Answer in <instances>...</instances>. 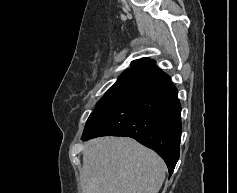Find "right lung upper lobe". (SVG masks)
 <instances>
[{
	"mask_svg": "<svg viewBox=\"0 0 237 193\" xmlns=\"http://www.w3.org/2000/svg\"><path fill=\"white\" fill-rule=\"evenodd\" d=\"M153 60L149 58H141L131 62V68L127 69L124 73L133 72V71H145L147 67L153 63ZM123 73V74H124Z\"/></svg>",
	"mask_w": 237,
	"mask_h": 193,
	"instance_id": "1",
	"label": "right lung upper lobe"
}]
</instances>
